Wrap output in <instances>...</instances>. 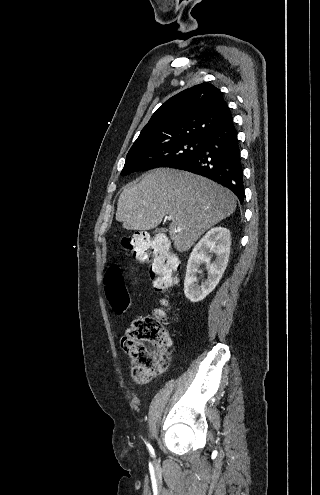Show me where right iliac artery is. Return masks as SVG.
I'll use <instances>...</instances> for the list:
<instances>
[{"label": "right iliac artery", "mask_w": 320, "mask_h": 495, "mask_svg": "<svg viewBox=\"0 0 320 495\" xmlns=\"http://www.w3.org/2000/svg\"><path fill=\"white\" fill-rule=\"evenodd\" d=\"M147 446H148L149 448H151L150 444H147Z\"/></svg>", "instance_id": "1"}]
</instances>
